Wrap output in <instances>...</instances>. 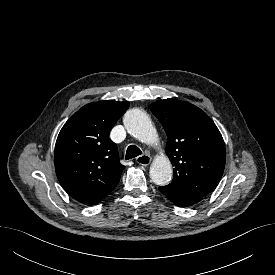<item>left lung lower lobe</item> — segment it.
<instances>
[{
    "instance_id": "left-lung-lower-lobe-1",
    "label": "left lung lower lobe",
    "mask_w": 275,
    "mask_h": 275,
    "mask_svg": "<svg viewBox=\"0 0 275 275\" xmlns=\"http://www.w3.org/2000/svg\"><path fill=\"white\" fill-rule=\"evenodd\" d=\"M159 190L168 198L170 199L175 205L181 206V207H187L190 205H194L195 203L202 200L204 197L203 195L197 193V192H191L187 194H170L167 193L163 187H159Z\"/></svg>"
}]
</instances>
